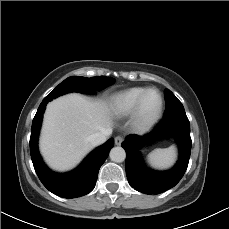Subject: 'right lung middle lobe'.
Returning <instances> with one entry per match:
<instances>
[{
	"label": "right lung middle lobe",
	"mask_w": 229,
	"mask_h": 229,
	"mask_svg": "<svg viewBox=\"0 0 229 229\" xmlns=\"http://www.w3.org/2000/svg\"><path fill=\"white\" fill-rule=\"evenodd\" d=\"M114 82L115 79L105 76L91 78L71 76L55 87V89L44 98V101L49 102L70 92L93 93L99 89L112 85Z\"/></svg>",
	"instance_id": "1"
}]
</instances>
